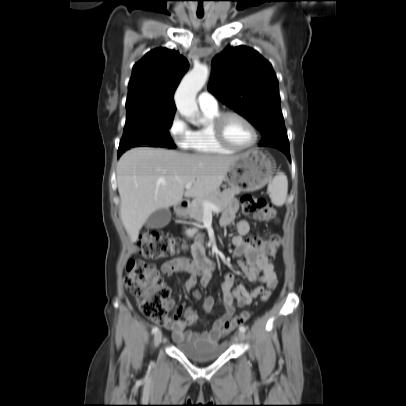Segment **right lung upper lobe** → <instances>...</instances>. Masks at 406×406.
Listing matches in <instances>:
<instances>
[{"label": "right lung upper lobe", "instance_id": "obj_1", "mask_svg": "<svg viewBox=\"0 0 406 406\" xmlns=\"http://www.w3.org/2000/svg\"><path fill=\"white\" fill-rule=\"evenodd\" d=\"M188 69L178 51L157 48L148 52L132 70L126 109L175 112L174 92Z\"/></svg>", "mask_w": 406, "mask_h": 406}]
</instances>
